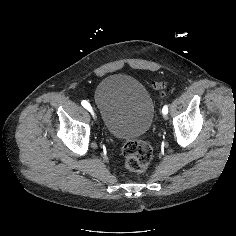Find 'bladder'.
<instances>
[{"label":"bladder","instance_id":"31cf9c89","mask_svg":"<svg viewBox=\"0 0 236 236\" xmlns=\"http://www.w3.org/2000/svg\"><path fill=\"white\" fill-rule=\"evenodd\" d=\"M95 108L106 132L119 140H135L150 127L154 104L148 91L128 75H110L96 88Z\"/></svg>","mask_w":236,"mask_h":236}]
</instances>
